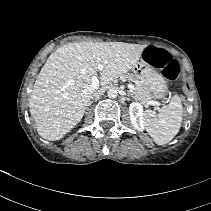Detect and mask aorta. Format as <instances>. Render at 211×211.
<instances>
[{"mask_svg": "<svg viewBox=\"0 0 211 211\" xmlns=\"http://www.w3.org/2000/svg\"><path fill=\"white\" fill-rule=\"evenodd\" d=\"M107 96L109 98H116L118 96V92L116 89L114 88H110L108 91H107Z\"/></svg>", "mask_w": 211, "mask_h": 211, "instance_id": "aorta-1", "label": "aorta"}]
</instances>
